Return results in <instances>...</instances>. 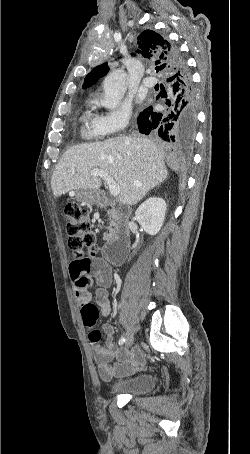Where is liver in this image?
Segmentation results:
<instances>
[{"label": "liver", "mask_w": 250, "mask_h": 454, "mask_svg": "<svg viewBox=\"0 0 250 454\" xmlns=\"http://www.w3.org/2000/svg\"><path fill=\"white\" fill-rule=\"evenodd\" d=\"M105 171L120 187L119 200L134 205L148 191L168 178L162 149L141 137H116L102 142L70 147L57 163L51 178L55 197L75 190H97L100 177L91 171Z\"/></svg>", "instance_id": "liver-1"}]
</instances>
